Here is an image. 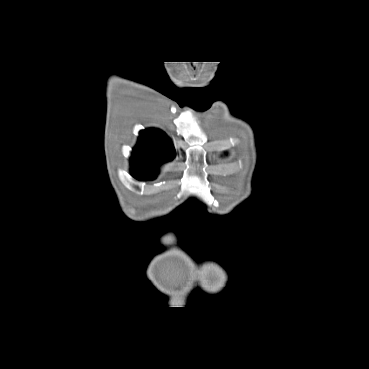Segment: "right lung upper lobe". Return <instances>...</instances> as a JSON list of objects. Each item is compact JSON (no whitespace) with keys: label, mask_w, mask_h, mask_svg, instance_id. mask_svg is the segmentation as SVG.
<instances>
[{"label":"right lung upper lobe","mask_w":369,"mask_h":369,"mask_svg":"<svg viewBox=\"0 0 369 369\" xmlns=\"http://www.w3.org/2000/svg\"><path fill=\"white\" fill-rule=\"evenodd\" d=\"M175 155L174 147L162 131L157 129L141 131L139 142L132 153V174L140 180L154 179L157 176V169L150 164L159 165L171 160Z\"/></svg>","instance_id":"right-lung-upper-lobe-1"}]
</instances>
